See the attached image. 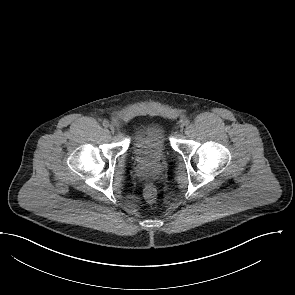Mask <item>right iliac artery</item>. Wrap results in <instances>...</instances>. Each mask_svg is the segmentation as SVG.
<instances>
[{"label":"right iliac artery","instance_id":"obj_1","mask_svg":"<svg viewBox=\"0 0 295 295\" xmlns=\"http://www.w3.org/2000/svg\"><path fill=\"white\" fill-rule=\"evenodd\" d=\"M109 125H110V124H109V122H108V121H106V120H105V121H103V126H104L105 128L109 127Z\"/></svg>","mask_w":295,"mask_h":295}]
</instances>
